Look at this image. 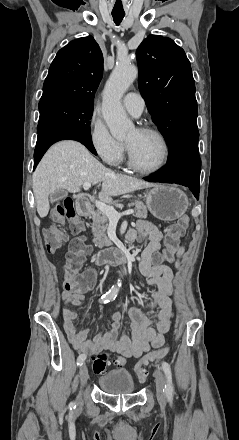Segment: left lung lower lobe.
<instances>
[{
    "label": "left lung lower lobe",
    "instance_id": "1",
    "mask_svg": "<svg viewBox=\"0 0 239 440\" xmlns=\"http://www.w3.org/2000/svg\"><path fill=\"white\" fill-rule=\"evenodd\" d=\"M198 138V129L176 134L168 143L169 156L165 168L144 179L150 182L177 183L187 186L198 199L201 168Z\"/></svg>",
    "mask_w": 239,
    "mask_h": 440
}]
</instances>
